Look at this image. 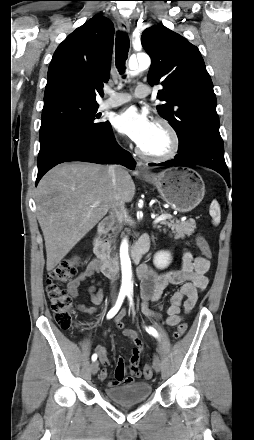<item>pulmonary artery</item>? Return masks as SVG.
Wrapping results in <instances>:
<instances>
[{"instance_id": "obj_1", "label": "pulmonary artery", "mask_w": 254, "mask_h": 440, "mask_svg": "<svg viewBox=\"0 0 254 440\" xmlns=\"http://www.w3.org/2000/svg\"><path fill=\"white\" fill-rule=\"evenodd\" d=\"M149 93H150L149 87L147 85L141 84L135 88L133 96L136 98H144V97L148 96ZM133 96L129 93H124V92L113 94L111 97L105 99L101 103V108L108 109V108H114V107L120 106L122 104H125V103H128L129 101H131Z\"/></svg>"}]
</instances>
